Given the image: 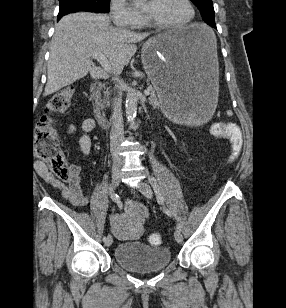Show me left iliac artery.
Masks as SVG:
<instances>
[{"label": "left iliac artery", "instance_id": "44dca946", "mask_svg": "<svg viewBox=\"0 0 286 308\" xmlns=\"http://www.w3.org/2000/svg\"><path fill=\"white\" fill-rule=\"evenodd\" d=\"M148 181L149 183L151 184V186L153 187L154 191H155V194L157 196V199L158 201L164 205V198H163V195L160 191V187H159V184L157 182V180L153 177V176H149L148 177ZM164 212L168 215V216H172L171 212L164 207ZM177 230L181 231V228H180V225L177 224V227H176Z\"/></svg>", "mask_w": 286, "mask_h": 308}]
</instances>
